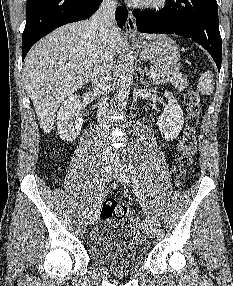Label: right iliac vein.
Masks as SVG:
<instances>
[{"instance_id":"1","label":"right iliac vein","mask_w":233,"mask_h":286,"mask_svg":"<svg viewBox=\"0 0 233 286\" xmlns=\"http://www.w3.org/2000/svg\"><path fill=\"white\" fill-rule=\"evenodd\" d=\"M111 175V166L105 162L101 166L100 170V185L103 184L109 180ZM98 217V203L93 206V209L91 210L90 217H89V223L94 224Z\"/></svg>"}]
</instances>
